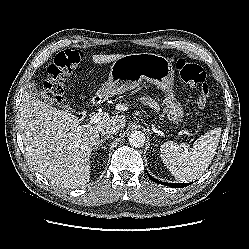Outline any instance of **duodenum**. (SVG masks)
<instances>
[{"mask_svg":"<svg viewBox=\"0 0 249 249\" xmlns=\"http://www.w3.org/2000/svg\"><path fill=\"white\" fill-rule=\"evenodd\" d=\"M98 103V99H94L93 100V104L95 105V104H97Z\"/></svg>","mask_w":249,"mask_h":249,"instance_id":"duodenum-1","label":"duodenum"}]
</instances>
